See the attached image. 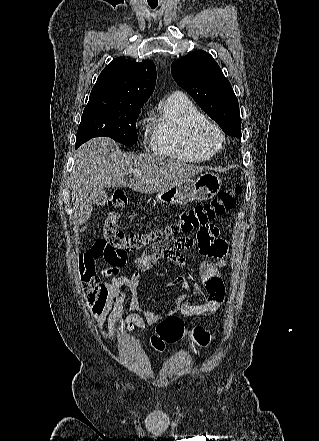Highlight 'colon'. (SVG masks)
I'll use <instances>...</instances> for the list:
<instances>
[{"label":"colon","instance_id":"colon-1","mask_svg":"<svg viewBox=\"0 0 319 441\" xmlns=\"http://www.w3.org/2000/svg\"><path fill=\"white\" fill-rule=\"evenodd\" d=\"M241 192L242 188L239 186L224 189L211 202L179 212L162 228L126 234L117 225L119 218L117 210L127 206V195L122 190H116L108 198V206L111 210L107 212L102 227L103 237L98 243L107 261L114 265H124L129 253L144 249L164 237L190 232L194 229H199L198 235H201L210 221L223 216L235 207L237 196ZM80 275L84 288L91 286L94 278V265H80ZM184 330L181 318L167 317L157 324L155 334L150 338V344L156 351L162 352L167 344L179 341L183 337ZM192 337L199 346H207L215 338L212 333L200 326L193 329Z\"/></svg>","mask_w":319,"mask_h":441}]
</instances>
